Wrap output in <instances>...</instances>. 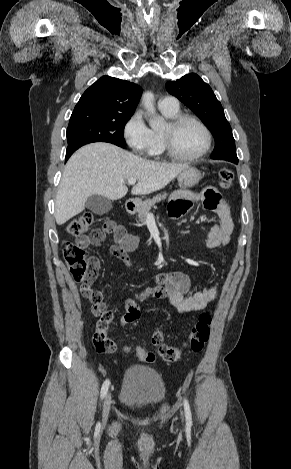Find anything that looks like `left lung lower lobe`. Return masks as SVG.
<instances>
[{
    "mask_svg": "<svg viewBox=\"0 0 291 469\" xmlns=\"http://www.w3.org/2000/svg\"><path fill=\"white\" fill-rule=\"evenodd\" d=\"M220 160H227V161L233 162V163H235V164L238 163V160H236V159H230V158H226V157H221Z\"/></svg>",
    "mask_w": 291,
    "mask_h": 469,
    "instance_id": "0a47b994",
    "label": "left lung lower lobe"
}]
</instances>
